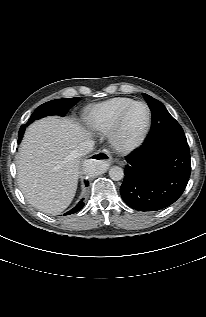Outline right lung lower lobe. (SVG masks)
<instances>
[{
  "instance_id": "1",
  "label": "right lung lower lobe",
  "mask_w": 206,
  "mask_h": 317,
  "mask_svg": "<svg viewBox=\"0 0 206 317\" xmlns=\"http://www.w3.org/2000/svg\"><path fill=\"white\" fill-rule=\"evenodd\" d=\"M18 143H20V140H18ZM86 185H88V182H86ZM84 205L85 204H84L83 200H81L72 210L67 212L65 215H70V214L78 212L79 210H81L84 207Z\"/></svg>"
}]
</instances>
